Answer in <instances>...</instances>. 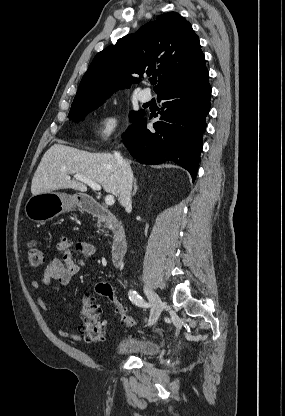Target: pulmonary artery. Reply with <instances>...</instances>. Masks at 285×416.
I'll use <instances>...</instances> for the list:
<instances>
[{
  "instance_id": "1",
  "label": "pulmonary artery",
  "mask_w": 285,
  "mask_h": 416,
  "mask_svg": "<svg viewBox=\"0 0 285 416\" xmlns=\"http://www.w3.org/2000/svg\"><path fill=\"white\" fill-rule=\"evenodd\" d=\"M138 99L142 103H147V102H150L152 100V95H151L150 91H148V89L146 87H141L139 89Z\"/></svg>"
}]
</instances>
